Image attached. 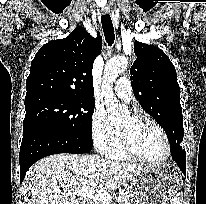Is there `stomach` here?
<instances>
[{
  "mask_svg": "<svg viewBox=\"0 0 206 204\" xmlns=\"http://www.w3.org/2000/svg\"><path fill=\"white\" fill-rule=\"evenodd\" d=\"M181 176L172 164L143 167L129 183L132 204H168L179 190Z\"/></svg>",
  "mask_w": 206,
  "mask_h": 204,
  "instance_id": "stomach-1",
  "label": "stomach"
}]
</instances>
